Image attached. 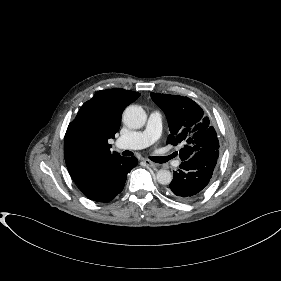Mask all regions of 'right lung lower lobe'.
Returning <instances> with one entry per match:
<instances>
[{
  "instance_id": "right-lung-lower-lobe-1",
  "label": "right lung lower lobe",
  "mask_w": 281,
  "mask_h": 281,
  "mask_svg": "<svg viewBox=\"0 0 281 281\" xmlns=\"http://www.w3.org/2000/svg\"><path fill=\"white\" fill-rule=\"evenodd\" d=\"M138 164L136 157H117L106 162L85 184L79 186L87 198L97 202H108L120 193L127 174Z\"/></svg>"
}]
</instances>
